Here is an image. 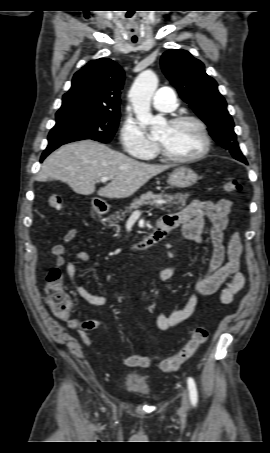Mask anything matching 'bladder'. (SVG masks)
I'll use <instances>...</instances> for the list:
<instances>
[{
  "label": "bladder",
  "instance_id": "obj_1",
  "mask_svg": "<svg viewBox=\"0 0 270 453\" xmlns=\"http://www.w3.org/2000/svg\"><path fill=\"white\" fill-rule=\"evenodd\" d=\"M124 387L128 391L138 394L146 395L150 393V385L147 379L138 373L129 374L125 380Z\"/></svg>",
  "mask_w": 270,
  "mask_h": 453
}]
</instances>
